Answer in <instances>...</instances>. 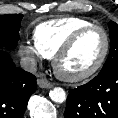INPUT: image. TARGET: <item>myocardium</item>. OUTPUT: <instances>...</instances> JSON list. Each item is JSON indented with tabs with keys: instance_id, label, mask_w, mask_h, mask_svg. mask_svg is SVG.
<instances>
[{
	"instance_id": "f54148a6",
	"label": "myocardium",
	"mask_w": 118,
	"mask_h": 118,
	"mask_svg": "<svg viewBox=\"0 0 118 118\" xmlns=\"http://www.w3.org/2000/svg\"><path fill=\"white\" fill-rule=\"evenodd\" d=\"M91 30L100 31L104 37V50L102 52L100 59L97 61V63L92 68H90L89 70H87L83 73H80L77 75H70V74L64 73L60 69V66H59L60 60L63 58V56H65L73 48V46L77 43V41L84 34H86L87 32H89ZM109 51H110V37H109L107 31L100 25L91 24V25L82 27V28L78 29L77 31H75L59 47V49L55 52V54L53 56L52 66H53L55 74L63 81H66V82L83 81L85 79L90 78L91 76L96 74L101 69V67L103 66V64L105 63V61L108 57Z\"/></svg>"
}]
</instances>
